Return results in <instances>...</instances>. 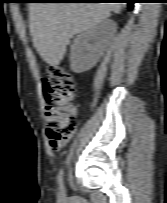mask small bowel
Instances as JSON below:
<instances>
[{
	"label": "small bowel",
	"instance_id": "c3829d8e",
	"mask_svg": "<svg viewBox=\"0 0 167 203\" xmlns=\"http://www.w3.org/2000/svg\"><path fill=\"white\" fill-rule=\"evenodd\" d=\"M69 141V137L62 139L56 146H51L54 150L60 151L66 143Z\"/></svg>",
	"mask_w": 167,
	"mask_h": 203
}]
</instances>
